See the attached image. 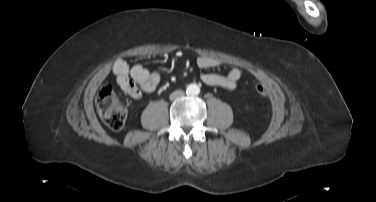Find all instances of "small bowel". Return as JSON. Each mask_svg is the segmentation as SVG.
<instances>
[{
    "instance_id": "small-bowel-1",
    "label": "small bowel",
    "mask_w": 376,
    "mask_h": 202,
    "mask_svg": "<svg viewBox=\"0 0 376 202\" xmlns=\"http://www.w3.org/2000/svg\"><path fill=\"white\" fill-rule=\"evenodd\" d=\"M225 64L223 60L211 56H200L197 59V65L201 69L221 67ZM113 74L120 89L133 99H139L144 92L150 93L155 91L161 81V76L158 72L150 71L142 64L129 67L123 59L115 61ZM241 76V69L233 67L225 74L214 72L204 73L201 76V80L208 86L233 89Z\"/></svg>"
}]
</instances>
